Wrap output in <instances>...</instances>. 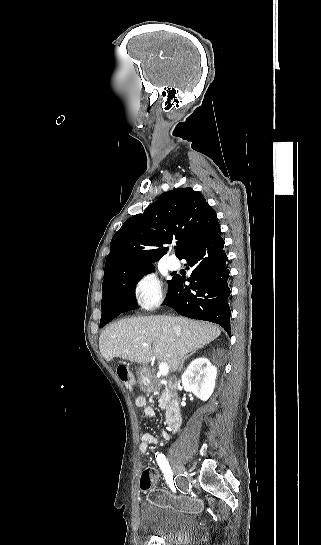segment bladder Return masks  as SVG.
I'll list each match as a JSON object with an SVG mask.
<instances>
[{"mask_svg":"<svg viewBox=\"0 0 321 545\" xmlns=\"http://www.w3.org/2000/svg\"><path fill=\"white\" fill-rule=\"evenodd\" d=\"M139 517L144 531L172 545L190 543L199 528L194 514L154 503L143 504Z\"/></svg>","mask_w":321,"mask_h":545,"instance_id":"1","label":"bladder"}]
</instances>
